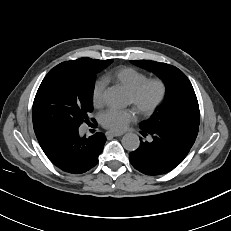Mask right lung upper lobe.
Wrapping results in <instances>:
<instances>
[{
	"mask_svg": "<svg viewBox=\"0 0 231 231\" xmlns=\"http://www.w3.org/2000/svg\"><path fill=\"white\" fill-rule=\"evenodd\" d=\"M72 61L75 63L81 64V65H92V64L98 63L101 60L84 57V58H80V59L72 60ZM40 129H43V127H36V128H34V131L36 132Z\"/></svg>",
	"mask_w": 231,
	"mask_h": 231,
	"instance_id": "right-lung-upper-lobe-1",
	"label": "right lung upper lobe"
}]
</instances>
